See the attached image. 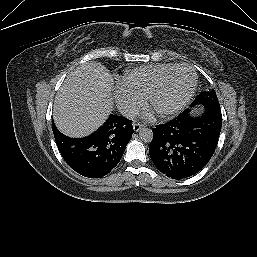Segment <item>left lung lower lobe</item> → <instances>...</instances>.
I'll list each match as a JSON object with an SVG mask.
<instances>
[{"label":"left lung lower lobe","instance_id":"left-lung-lower-lobe-1","mask_svg":"<svg viewBox=\"0 0 257 257\" xmlns=\"http://www.w3.org/2000/svg\"><path fill=\"white\" fill-rule=\"evenodd\" d=\"M190 111L152 129L150 157L159 171L176 180L198 173L209 162L221 131L220 107L204 106L200 116Z\"/></svg>","mask_w":257,"mask_h":257}]
</instances>
